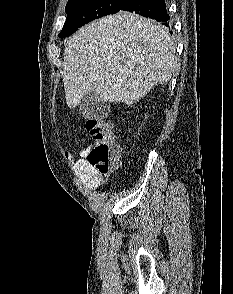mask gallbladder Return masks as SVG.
<instances>
[{
    "label": "gallbladder",
    "instance_id": "bac80fb5",
    "mask_svg": "<svg viewBox=\"0 0 233 294\" xmlns=\"http://www.w3.org/2000/svg\"><path fill=\"white\" fill-rule=\"evenodd\" d=\"M105 103L98 100L94 91L88 92L79 104V109L86 119H99Z\"/></svg>",
    "mask_w": 233,
    "mask_h": 294
}]
</instances>
